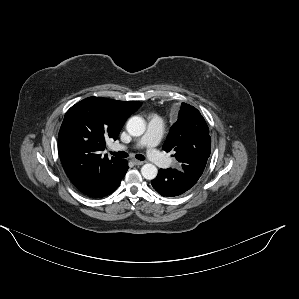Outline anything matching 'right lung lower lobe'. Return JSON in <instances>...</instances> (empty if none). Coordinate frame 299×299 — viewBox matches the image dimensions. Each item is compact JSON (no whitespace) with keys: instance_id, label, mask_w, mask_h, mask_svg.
<instances>
[{"instance_id":"obj_1","label":"right lung lower lobe","mask_w":299,"mask_h":299,"mask_svg":"<svg viewBox=\"0 0 299 299\" xmlns=\"http://www.w3.org/2000/svg\"><path fill=\"white\" fill-rule=\"evenodd\" d=\"M127 170H128V162L123 159L121 163L117 165V167L115 168L113 175L109 183L105 186V188L100 192L96 193L95 195H92L91 197H103L112 193L119 186Z\"/></svg>"}]
</instances>
